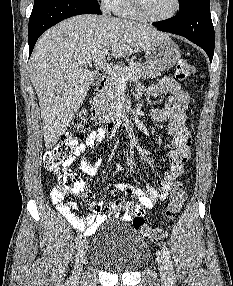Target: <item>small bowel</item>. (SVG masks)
<instances>
[{"mask_svg":"<svg viewBox=\"0 0 233 286\" xmlns=\"http://www.w3.org/2000/svg\"><path fill=\"white\" fill-rule=\"evenodd\" d=\"M137 93L138 95L147 93L154 98L169 94L165 106L152 109L150 116L157 122L168 123V134L173 138L174 149L168 154V169L163 178L158 181L157 186L141 188L124 182L116 184L117 190L135 199L123 204L124 208L128 210L123 217L125 221L132 219L135 210L143 213L145 210L151 209L156 202L166 199L173 182L182 174L183 164L191 155V132L187 125L189 94L181 88L178 82L169 77L162 78L151 86L139 84ZM105 135L106 129L103 127L89 132L84 141L77 144L74 156L67 159L64 164L70 166L77 157H81V171L88 176L97 175L103 161L100 157H96L91 162L88 159V153L104 140ZM66 193V190L60 187L55 188L51 192L52 203L75 230H82L87 236L92 235L108 219L111 209L115 206V204L106 203L103 200L93 201L85 188L82 192L73 193L82 196L89 203L91 212L78 217L75 214V210L78 208L77 203L66 202L64 200Z\"/></svg>","mask_w":233,"mask_h":286,"instance_id":"c3829d8e","label":"small bowel"}]
</instances>
